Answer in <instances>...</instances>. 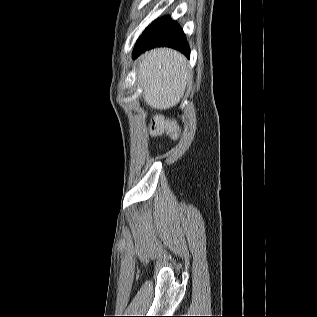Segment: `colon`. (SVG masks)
Wrapping results in <instances>:
<instances>
[{"label":"colon","mask_w":317,"mask_h":317,"mask_svg":"<svg viewBox=\"0 0 317 317\" xmlns=\"http://www.w3.org/2000/svg\"><path fill=\"white\" fill-rule=\"evenodd\" d=\"M151 131L156 135L167 133L172 136V138H175L177 134V126L172 120L166 119L162 116H156L152 120Z\"/></svg>","instance_id":"obj_1"}]
</instances>
